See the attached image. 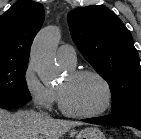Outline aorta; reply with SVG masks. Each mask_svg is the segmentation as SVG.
Instances as JSON below:
<instances>
[{"mask_svg": "<svg viewBox=\"0 0 141 139\" xmlns=\"http://www.w3.org/2000/svg\"><path fill=\"white\" fill-rule=\"evenodd\" d=\"M60 39V28L54 25L47 26L40 30L31 47V64L46 85L58 77L55 50Z\"/></svg>", "mask_w": 141, "mask_h": 139, "instance_id": "762f6f07", "label": "aorta"}]
</instances>
